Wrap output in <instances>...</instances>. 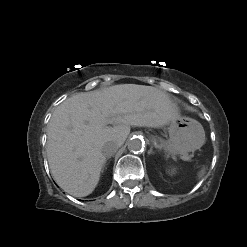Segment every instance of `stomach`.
I'll return each mask as SVG.
<instances>
[{"label": "stomach", "instance_id": "stomach-1", "mask_svg": "<svg viewBox=\"0 0 247 247\" xmlns=\"http://www.w3.org/2000/svg\"><path fill=\"white\" fill-rule=\"evenodd\" d=\"M169 140L153 138L152 142L172 155L194 152L205 143L203 126L195 119L177 114L168 127Z\"/></svg>", "mask_w": 247, "mask_h": 247}]
</instances>
